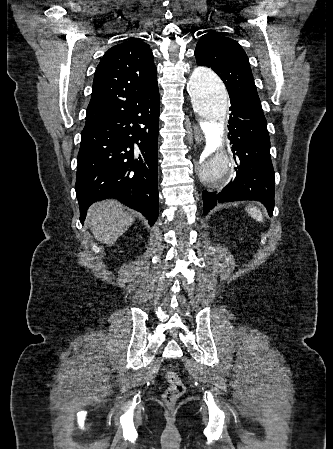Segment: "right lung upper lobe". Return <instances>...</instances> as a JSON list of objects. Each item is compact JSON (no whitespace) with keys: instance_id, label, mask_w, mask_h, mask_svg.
Returning a JSON list of instances; mask_svg holds the SVG:
<instances>
[{"instance_id":"1","label":"right lung upper lobe","mask_w":333,"mask_h":449,"mask_svg":"<svg viewBox=\"0 0 333 449\" xmlns=\"http://www.w3.org/2000/svg\"><path fill=\"white\" fill-rule=\"evenodd\" d=\"M157 69L150 46L139 38L110 48L96 68L86 125L127 111L158 92Z\"/></svg>"}]
</instances>
